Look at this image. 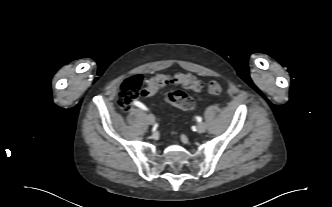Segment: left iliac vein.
Wrapping results in <instances>:
<instances>
[{"label": "left iliac vein", "mask_w": 332, "mask_h": 207, "mask_svg": "<svg viewBox=\"0 0 332 207\" xmlns=\"http://www.w3.org/2000/svg\"><path fill=\"white\" fill-rule=\"evenodd\" d=\"M206 131V124L204 122H199L197 124V132L204 133Z\"/></svg>", "instance_id": "left-iliac-vein-1"}]
</instances>
